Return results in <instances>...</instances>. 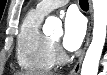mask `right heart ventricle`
Here are the masks:
<instances>
[{
	"instance_id": "1",
	"label": "right heart ventricle",
	"mask_w": 107,
	"mask_h": 75,
	"mask_svg": "<svg viewBox=\"0 0 107 75\" xmlns=\"http://www.w3.org/2000/svg\"><path fill=\"white\" fill-rule=\"evenodd\" d=\"M42 14L33 10L25 17L17 39L19 66L31 72H48L56 65L52 40L40 30Z\"/></svg>"
}]
</instances>
